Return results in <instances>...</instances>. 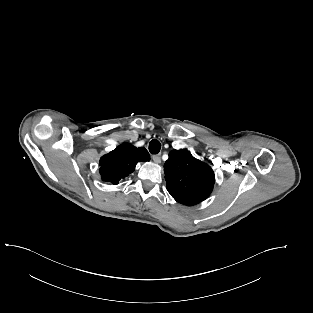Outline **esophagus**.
Instances as JSON below:
<instances>
[{
	"instance_id": "esophagus-1",
	"label": "esophagus",
	"mask_w": 313,
	"mask_h": 313,
	"mask_svg": "<svg viewBox=\"0 0 313 313\" xmlns=\"http://www.w3.org/2000/svg\"><path fill=\"white\" fill-rule=\"evenodd\" d=\"M152 159H153V161H154L155 163H160V162H161V157H160L159 154L153 155V156H152Z\"/></svg>"
}]
</instances>
